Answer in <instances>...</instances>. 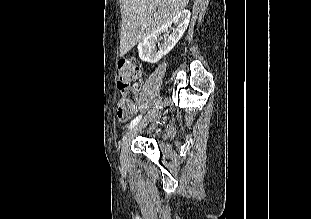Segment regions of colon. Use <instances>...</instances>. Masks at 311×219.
Wrapping results in <instances>:
<instances>
[{
	"instance_id": "1",
	"label": "colon",
	"mask_w": 311,
	"mask_h": 219,
	"mask_svg": "<svg viewBox=\"0 0 311 219\" xmlns=\"http://www.w3.org/2000/svg\"><path fill=\"white\" fill-rule=\"evenodd\" d=\"M141 74V64L134 58H122L118 62V88L122 93L123 113H127L137 100V90L132 83Z\"/></svg>"
}]
</instances>
